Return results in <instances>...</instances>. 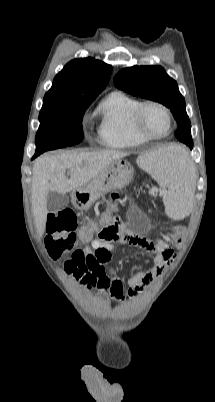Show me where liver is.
I'll list each match as a JSON object with an SVG mask.
<instances>
[{
  "mask_svg": "<svg viewBox=\"0 0 215 402\" xmlns=\"http://www.w3.org/2000/svg\"><path fill=\"white\" fill-rule=\"evenodd\" d=\"M126 155L116 150L73 151L37 158L32 169L31 202L39 235H43L46 227L48 214L46 201L49 192L67 194L82 188L111 163L121 160ZM67 170L70 174L69 179L65 176Z\"/></svg>",
  "mask_w": 215,
  "mask_h": 402,
  "instance_id": "1",
  "label": "liver"
}]
</instances>
